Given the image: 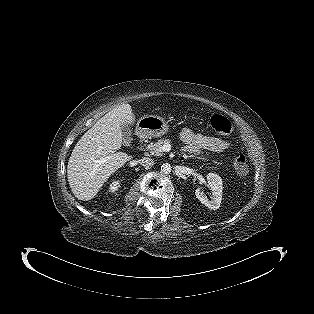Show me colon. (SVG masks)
Instances as JSON below:
<instances>
[{"mask_svg": "<svg viewBox=\"0 0 314 314\" xmlns=\"http://www.w3.org/2000/svg\"><path fill=\"white\" fill-rule=\"evenodd\" d=\"M212 130L221 135H229L233 130L232 123L221 114H214L210 119ZM233 167L240 175H246L249 172L247 156L240 154L233 159Z\"/></svg>", "mask_w": 314, "mask_h": 314, "instance_id": "1", "label": "colon"}]
</instances>
